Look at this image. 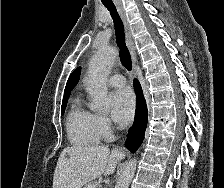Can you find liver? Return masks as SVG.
Segmentation results:
<instances>
[{
	"label": "liver",
	"mask_w": 224,
	"mask_h": 188,
	"mask_svg": "<svg viewBox=\"0 0 224 188\" xmlns=\"http://www.w3.org/2000/svg\"><path fill=\"white\" fill-rule=\"evenodd\" d=\"M125 158L120 149L107 146H71L61 152L53 176V188H82L101 175L108 176Z\"/></svg>",
	"instance_id": "liver-1"
}]
</instances>
